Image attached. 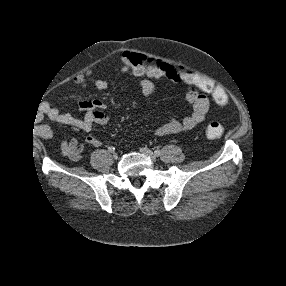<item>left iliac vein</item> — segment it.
Returning a JSON list of instances; mask_svg holds the SVG:
<instances>
[{
  "instance_id": "4c4485c4",
  "label": "left iliac vein",
  "mask_w": 286,
  "mask_h": 286,
  "mask_svg": "<svg viewBox=\"0 0 286 286\" xmlns=\"http://www.w3.org/2000/svg\"><path fill=\"white\" fill-rule=\"evenodd\" d=\"M140 152L146 156H148L151 161H156L157 159V156L149 149V148H146V147H142L140 148Z\"/></svg>"
}]
</instances>
